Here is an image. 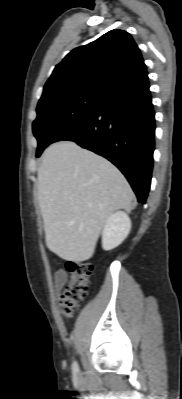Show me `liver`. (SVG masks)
<instances>
[{
    "instance_id": "6515ba94",
    "label": "liver",
    "mask_w": 182,
    "mask_h": 399,
    "mask_svg": "<svg viewBox=\"0 0 182 399\" xmlns=\"http://www.w3.org/2000/svg\"><path fill=\"white\" fill-rule=\"evenodd\" d=\"M134 193L103 157L70 141L51 145L38 170V201L48 249L67 261L90 259L107 218L129 212Z\"/></svg>"
}]
</instances>
